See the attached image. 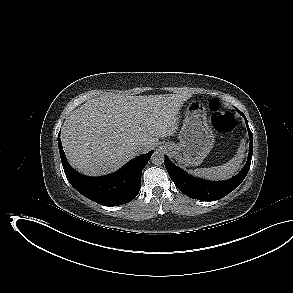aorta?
Returning a JSON list of instances; mask_svg holds the SVG:
<instances>
[{
  "label": "aorta",
  "instance_id": "obj_1",
  "mask_svg": "<svg viewBox=\"0 0 293 293\" xmlns=\"http://www.w3.org/2000/svg\"><path fill=\"white\" fill-rule=\"evenodd\" d=\"M151 162L154 164V165H161L163 164L164 162V155L162 152L160 151H156L152 154L151 156Z\"/></svg>",
  "mask_w": 293,
  "mask_h": 293
}]
</instances>
